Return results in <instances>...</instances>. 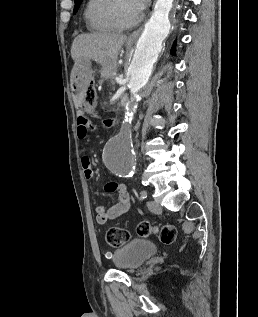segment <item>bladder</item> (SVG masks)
<instances>
[{
  "label": "bladder",
  "mask_w": 258,
  "mask_h": 317,
  "mask_svg": "<svg viewBox=\"0 0 258 317\" xmlns=\"http://www.w3.org/2000/svg\"><path fill=\"white\" fill-rule=\"evenodd\" d=\"M157 245L144 239H134L113 252L112 262L117 269L133 270L156 254Z\"/></svg>",
  "instance_id": "obj_1"
}]
</instances>
